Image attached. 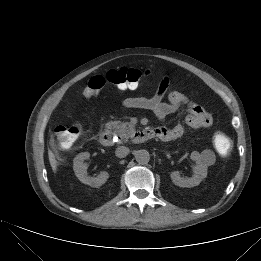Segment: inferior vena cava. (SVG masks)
<instances>
[{
	"label": "inferior vena cava",
	"mask_w": 261,
	"mask_h": 261,
	"mask_svg": "<svg viewBox=\"0 0 261 261\" xmlns=\"http://www.w3.org/2000/svg\"><path fill=\"white\" fill-rule=\"evenodd\" d=\"M129 153V148L125 147V146H119L118 148H116L115 154L117 157L119 158H124L125 156H127Z\"/></svg>",
	"instance_id": "obj_1"
}]
</instances>
